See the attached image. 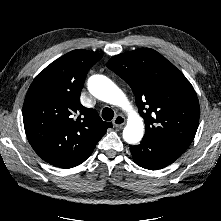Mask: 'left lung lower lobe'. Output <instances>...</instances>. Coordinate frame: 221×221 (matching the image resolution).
Listing matches in <instances>:
<instances>
[{
	"label": "left lung lower lobe",
	"instance_id": "1",
	"mask_svg": "<svg viewBox=\"0 0 221 221\" xmlns=\"http://www.w3.org/2000/svg\"><path fill=\"white\" fill-rule=\"evenodd\" d=\"M130 151L137 165L149 170L164 168L182 155L146 138H143L139 145L130 146Z\"/></svg>",
	"mask_w": 221,
	"mask_h": 221
}]
</instances>
